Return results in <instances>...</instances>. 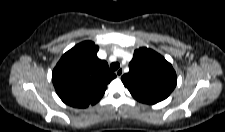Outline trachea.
Wrapping results in <instances>:
<instances>
[{
    "label": "trachea",
    "instance_id": "3493384b",
    "mask_svg": "<svg viewBox=\"0 0 225 132\" xmlns=\"http://www.w3.org/2000/svg\"><path fill=\"white\" fill-rule=\"evenodd\" d=\"M120 67L118 62L111 63L110 68L112 71H116Z\"/></svg>",
    "mask_w": 225,
    "mask_h": 132
}]
</instances>
